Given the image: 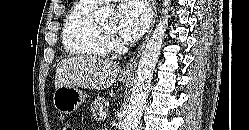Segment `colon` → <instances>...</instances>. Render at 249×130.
I'll use <instances>...</instances> for the list:
<instances>
[{
    "label": "colon",
    "mask_w": 249,
    "mask_h": 130,
    "mask_svg": "<svg viewBox=\"0 0 249 130\" xmlns=\"http://www.w3.org/2000/svg\"><path fill=\"white\" fill-rule=\"evenodd\" d=\"M61 130H75V128L70 124H66L61 128Z\"/></svg>",
    "instance_id": "1"
}]
</instances>
